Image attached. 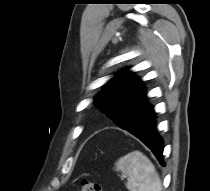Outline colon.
Segmentation results:
<instances>
[{"label":"colon","mask_w":210,"mask_h":191,"mask_svg":"<svg viewBox=\"0 0 210 191\" xmlns=\"http://www.w3.org/2000/svg\"><path fill=\"white\" fill-rule=\"evenodd\" d=\"M81 191H102V187L97 182L90 181V180H84L82 182Z\"/></svg>","instance_id":"5ec220e1"}]
</instances>
